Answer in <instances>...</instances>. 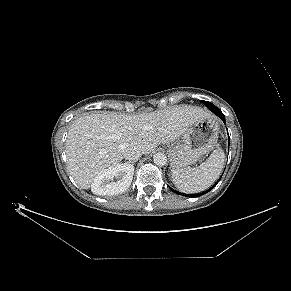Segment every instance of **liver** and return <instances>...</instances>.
<instances>
[{"mask_svg":"<svg viewBox=\"0 0 291 291\" xmlns=\"http://www.w3.org/2000/svg\"><path fill=\"white\" fill-rule=\"evenodd\" d=\"M210 116L200 107L180 105L139 115L104 112L79 117L70 126L66 140L70 175L80 188L89 189L99 173L122 161L126 148L136 146L142 154H149Z\"/></svg>","mask_w":291,"mask_h":291,"instance_id":"1","label":"liver"}]
</instances>
